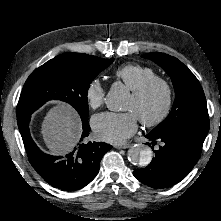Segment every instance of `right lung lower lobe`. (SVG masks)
<instances>
[{
    "label": "right lung lower lobe",
    "mask_w": 221,
    "mask_h": 221,
    "mask_svg": "<svg viewBox=\"0 0 221 221\" xmlns=\"http://www.w3.org/2000/svg\"><path fill=\"white\" fill-rule=\"evenodd\" d=\"M30 115L18 121L19 131L29 162L37 173L51 186L75 191L88 185L98 174L103 155L112 146L104 142H85L65 157L51 156L42 152L29 132ZM83 123L81 141L89 135L90 126Z\"/></svg>",
    "instance_id": "obj_1"
}]
</instances>
